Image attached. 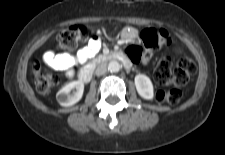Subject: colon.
<instances>
[{
    "label": "colon",
    "mask_w": 225,
    "mask_h": 155,
    "mask_svg": "<svg viewBox=\"0 0 225 155\" xmlns=\"http://www.w3.org/2000/svg\"><path fill=\"white\" fill-rule=\"evenodd\" d=\"M85 28L79 26H70L60 31L57 35V42L61 49L66 51L74 50L81 38ZM168 33L161 29H145L141 33L142 45H132L129 48V54L132 60L139 63L143 60V47L154 48L162 43H169ZM176 53H181L176 49ZM196 71V65L191 58L182 56L174 63L171 59H162L156 66L155 79L163 86L169 88L160 89L156 92L155 98L160 103L175 105L179 103L182 92L179 87L185 85L190 76ZM36 76V88L40 93H48L57 83L58 78L50 73L44 72L39 63L34 65Z\"/></svg>",
    "instance_id": "obj_1"
}]
</instances>
